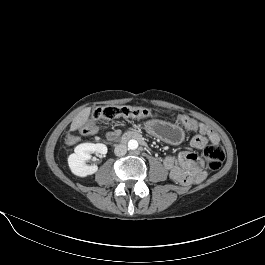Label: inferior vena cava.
<instances>
[{"instance_id": "1", "label": "inferior vena cava", "mask_w": 265, "mask_h": 265, "mask_svg": "<svg viewBox=\"0 0 265 265\" xmlns=\"http://www.w3.org/2000/svg\"><path fill=\"white\" fill-rule=\"evenodd\" d=\"M127 146L125 144H118L115 149L114 153L116 156H124L127 153Z\"/></svg>"}]
</instances>
